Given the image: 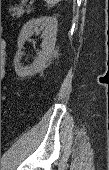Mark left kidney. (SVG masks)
<instances>
[{
    "label": "left kidney",
    "instance_id": "5707ae66",
    "mask_svg": "<svg viewBox=\"0 0 109 170\" xmlns=\"http://www.w3.org/2000/svg\"><path fill=\"white\" fill-rule=\"evenodd\" d=\"M57 27L58 21L54 16H43L40 18L31 19L25 23L18 38L19 49L13 61L15 71L18 75H31L41 71L46 67L48 61L51 59L54 53ZM34 33L36 35L42 33V50L37 54V57L32 64L24 66L21 62L23 55L21 53V48L25 41Z\"/></svg>",
    "mask_w": 109,
    "mask_h": 170
}]
</instances>
